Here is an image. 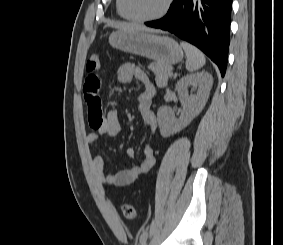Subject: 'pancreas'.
<instances>
[{
  "instance_id": "pancreas-1",
  "label": "pancreas",
  "mask_w": 283,
  "mask_h": 245,
  "mask_svg": "<svg viewBox=\"0 0 283 245\" xmlns=\"http://www.w3.org/2000/svg\"><path fill=\"white\" fill-rule=\"evenodd\" d=\"M149 69L155 74V81L159 88H164L167 85L168 78L170 77L169 71L172 66L160 62L150 63Z\"/></svg>"
}]
</instances>
